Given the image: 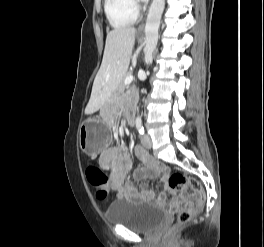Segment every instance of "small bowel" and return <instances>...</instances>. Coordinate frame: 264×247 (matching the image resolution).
<instances>
[{"label":"small bowel","mask_w":264,"mask_h":247,"mask_svg":"<svg viewBox=\"0 0 264 247\" xmlns=\"http://www.w3.org/2000/svg\"><path fill=\"white\" fill-rule=\"evenodd\" d=\"M134 152L142 161V167L134 173V177L138 180L146 178H159L161 182L166 185V191L158 197H156L155 194L146 186H142L140 191H137L131 181L127 179V172L132 166L130 155L126 149L120 146L104 150L99 158L100 166L110 172L111 190L115 191L119 197L124 199L157 198L158 200H165L168 195L175 198V192L167 187V166L156 160L140 145L135 146Z\"/></svg>","instance_id":"obj_1"}]
</instances>
